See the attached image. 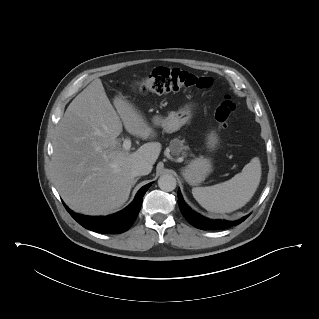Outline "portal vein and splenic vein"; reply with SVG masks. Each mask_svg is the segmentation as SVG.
<instances>
[{"label": "portal vein and splenic vein", "mask_w": 319, "mask_h": 319, "mask_svg": "<svg viewBox=\"0 0 319 319\" xmlns=\"http://www.w3.org/2000/svg\"><path fill=\"white\" fill-rule=\"evenodd\" d=\"M122 146L125 151H129L131 148V140L128 138L124 139Z\"/></svg>", "instance_id": "obj_1"}]
</instances>
